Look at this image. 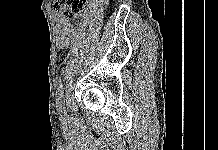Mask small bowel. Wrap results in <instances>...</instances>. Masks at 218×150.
<instances>
[{
  "label": "small bowel",
  "instance_id": "1",
  "mask_svg": "<svg viewBox=\"0 0 218 150\" xmlns=\"http://www.w3.org/2000/svg\"><path fill=\"white\" fill-rule=\"evenodd\" d=\"M57 22V32L56 41L59 47L67 48L71 46L75 41V32L71 27V23L62 18L61 16H56Z\"/></svg>",
  "mask_w": 218,
  "mask_h": 150
}]
</instances>
